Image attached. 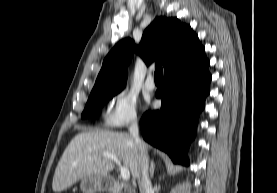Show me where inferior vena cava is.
Instances as JSON below:
<instances>
[{"label": "inferior vena cava", "mask_w": 277, "mask_h": 193, "mask_svg": "<svg viewBox=\"0 0 277 193\" xmlns=\"http://www.w3.org/2000/svg\"><path fill=\"white\" fill-rule=\"evenodd\" d=\"M128 129H129L130 135L138 145L139 151H140L141 167H140L139 175L137 177L140 193H153L152 184L149 179V173H148L149 158L147 155V151L144 147V144L139 138L137 118L135 116H133L130 119V124Z\"/></svg>", "instance_id": "602c4592"}]
</instances>
